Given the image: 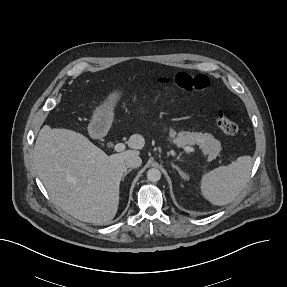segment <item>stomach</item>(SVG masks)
<instances>
[{
    "instance_id": "0dacf381",
    "label": "stomach",
    "mask_w": 287,
    "mask_h": 287,
    "mask_svg": "<svg viewBox=\"0 0 287 287\" xmlns=\"http://www.w3.org/2000/svg\"><path fill=\"white\" fill-rule=\"evenodd\" d=\"M123 95L122 89L112 91L105 100L93 111V116L89 125V129L98 132H107L111 127L114 117V108ZM175 135H169L175 142Z\"/></svg>"
}]
</instances>
